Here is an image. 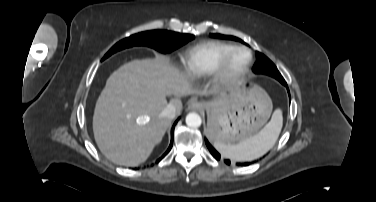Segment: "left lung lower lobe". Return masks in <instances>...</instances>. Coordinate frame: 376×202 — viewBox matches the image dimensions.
Listing matches in <instances>:
<instances>
[{
    "label": "left lung lower lobe",
    "instance_id": "1",
    "mask_svg": "<svg viewBox=\"0 0 376 202\" xmlns=\"http://www.w3.org/2000/svg\"><path fill=\"white\" fill-rule=\"evenodd\" d=\"M282 84H283L284 86H286V88H287V90H288V93H289V98H290V92H289V89H288V86H287L286 82L284 81V82H282ZM205 143H206V145H207V147H208L210 153L212 154V156H213L215 159L219 160V159H220V154H219V153H218V152H217V151L211 146V144L208 142L207 139H205ZM225 163H226V164H230V161H229V160H225ZM251 163H254V162L239 163L238 165H241V166H248V165H250Z\"/></svg>",
    "mask_w": 376,
    "mask_h": 202
}]
</instances>
